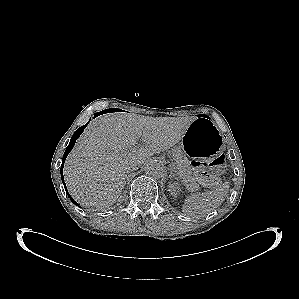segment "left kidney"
<instances>
[{
    "label": "left kidney",
    "mask_w": 299,
    "mask_h": 299,
    "mask_svg": "<svg viewBox=\"0 0 299 299\" xmlns=\"http://www.w3.org/2000/svg\"><path fill=\"white\" fill-rule=\"evenodd\" d=\"M169 191L172 196H177V194L180 192V185L177 182H171L169 184Z\"/></svg>",
    "instance_id": "1"
}]
</instances>
